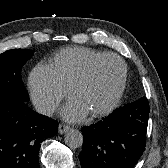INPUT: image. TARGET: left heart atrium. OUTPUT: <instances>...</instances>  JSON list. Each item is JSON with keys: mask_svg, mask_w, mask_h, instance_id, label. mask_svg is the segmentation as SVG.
<instances>
[{"mask_svg": "<svg viewBox=\"0 0 168 168\" xmlns=\"http://www.w3.org/2000/svg\"><path fill=\"white\" fill-rule=\"evenodd\" d=\"M88 113L87 107L76 96H73L61 109L62 117L72 122L81 121Z\"/></svg>", "mask_w": 168, "mask_h": 168, "instance_id": "obj_1", "label": "left heart atrium"}]
</instances>
